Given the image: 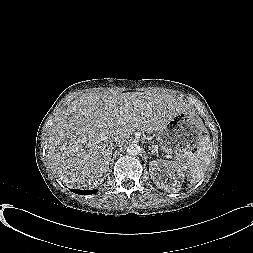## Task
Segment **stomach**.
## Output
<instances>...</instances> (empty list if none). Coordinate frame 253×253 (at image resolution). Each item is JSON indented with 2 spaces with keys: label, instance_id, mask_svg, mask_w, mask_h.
Returning <instances> with one entry per match:
<instances>
[{
  "label": "stomach",
  "instance_id": "stomach-1",
  "mask_svg": "<svg viewBox=\"0 0 253 253\" xmlns=\"http://www.w3.org/2000/svg\"><path fill=\"white\" fill-rule=\"evenodd\" d=\"M201 119L193 113H180L174 116L156 136L161 150L174 154L176 158L188 156L197 148L203 137Z\"/></svg>",
  "mask_w": 253,
  "mask_h": 253
}]
</instances>
